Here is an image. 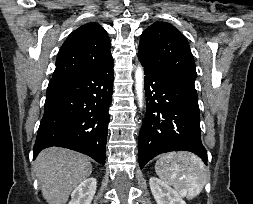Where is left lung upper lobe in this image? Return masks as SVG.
Segmentation results:
<instances>
[{
	"mask_svg": "<svg viewBox=\"0 0 253 204\" xmlns=\"http://www.w3.org/2000/svg\"><path fill=\"white\" fill-rule=\"evenodd\" d=\"M138 58L148 67L194 83L197 73L186 37L166 22H155L141 35Z\"/></svg>",
	"mask_w": 253,
	"mask_h": 204,
	"instance_id": "obj_1",
	"label": "left lung upper lobe"
}]
</instances>
